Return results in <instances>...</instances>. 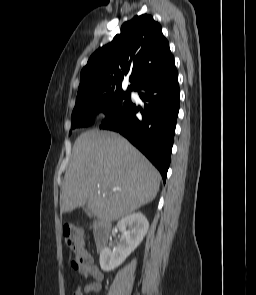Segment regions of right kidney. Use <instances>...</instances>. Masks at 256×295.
<instances>
[{
  "mask_svg": "<svg viewBox=\"0 0 256 295\" xmlns=\"http://www.w3.org/2000/svg\"><path fill=\"white\" fill-rule=\"evenodd\" d=\"M122 232L120 243L113 249L104 248L100 253V267L109 272L120 266L139 246L149 229V222L141 213H132L117 223Z\"/></svg>",
  "mask_w": 256,
  "mask_h": 295,
  "instance_id": "obj_1",
  "label": "right kidney"
}]
</instances>
